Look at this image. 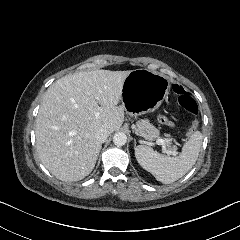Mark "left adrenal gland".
<instances>
[{
	"label": "left adrenal gland",
	"instance_id": "obj_1",
	"mask_svg": "<svg viewBox=\"0 0 240 240\" xmlns=\"http://www.w3.org/2000/svg\"><path fill=\"white\" fill-rule=\"evenodd\" d=\"M134 143H135V148H136V144H137V141H136V139H134Z\"/></svg>",
	"mask_w": 240,
	"mask_h": 240
}]
</instances>
